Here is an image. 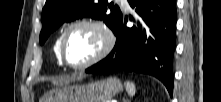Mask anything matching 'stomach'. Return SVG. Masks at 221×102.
<instances>
[{"instance_id": "obj_1", "label": "stomach", "mask_w": 221, "mask_h": 102, "mask_svg": "<svg viewBox=\"0 0 221 102\" xmlns=\"http://www.w3.org/2000/svg\"><path fill=\"white\" fill-rule=\"evenodd\" d=\"M116 77L83 85H64L46 92L40 102H108L122 90Z\"/></svg>"}]
</instances>
